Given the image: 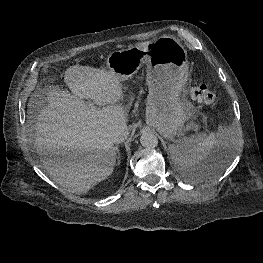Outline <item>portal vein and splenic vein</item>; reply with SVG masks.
Instances as JSON below:
<instances>
[{
  "label": "portal vein and splenic vein",
  "instance_id": "1",
  "mask_svg": "<svg viewBox=\"0 0 263 263\" xmlns=\"http://www.w3.org/2000/svg\"><path fill=\"white\" fill-rule=\"evenodd\" d=\"M87 104H88L89 107L94 108V105H93V103L90 100H88Z\"/></svg>",
  "mask_w": 263,
  "mask_h": 263
}]
</instances>
